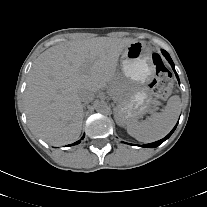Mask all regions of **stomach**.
Masks as SVG:
<instances>
[{"mask_svg": "<svg viewBox=\"0 0 207 207\" xmlns=\"http://www.w3.org/2000/svg\"><path fill=\"white\" fill-rule=\"evenodd\" d=\"M121 67L124 77L118 82L116 88V92L120 95L115 96L117 100L115 118L119 125H126L130 119L144 113L151 103V92L143 86L154 73L151 52L143 42L135 41L122 51ZM126 79L140 86L126 90Z\"/></svg>", "mask_w": 207, "mask_h": 207, "instance_id": "0dacf381", "label": "stomach"}]
</instances>
